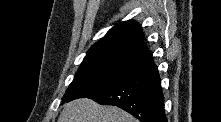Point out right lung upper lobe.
<instances>
[{"instance_id":"cb5924a9","label":"right lung upper lobe","mask_w":221,"mask_h":122,"mask_svg":"<svg viewBox=\"0 0 221 122\" xmlns=\"http://www.w3.org/2000/svg\"><path fill=\"white\" fill-rule=\"evenodd\" d=\"M149 54L138 23L125 21L116 24L104 38L95 43L87 52L83 62L111 57L140 61Z\"/></svg>"}]
</instances>
